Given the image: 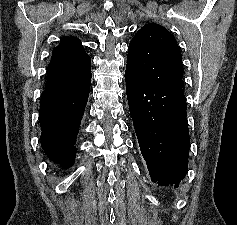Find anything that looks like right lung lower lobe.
<instances>
[{
	"label": "right lung lower lobe",
	"mask_w": 237,
	"mask_h": 225,
	"mask_svg": "<svg viewBox=\"0 0 237 225\" xmlns=\"http://www.w3.org/2000/svg\"><path fill=\"white\" fill-rule=\"evenodd\" d=\"M91 80L74 89H51L41 94V146L65 169L75 162L76 137L87 104Z\"/></svg>",
	"instance_id": "obj_1"
}]
</instances>
